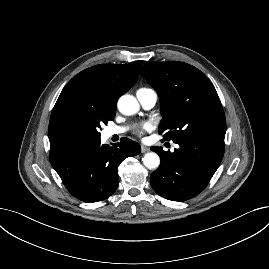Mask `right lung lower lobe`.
Segmentation results:
<instances>
[{
  "label": "right lung lower lobe",
  "mask_w": 269,
  "mask_h": 269,
  "mask_svg": "<svg viewBox=\"0 0 269 269\" xmlns=\"http://www.w3.org/2000/svg\"><path fill=\"white\" fill-rule=\"evenodd\" d=\"M140 151V145L128 138L112 147L101 145L98 138L51 151L49 159L67 190L77 199L93 203L116 191L119 164Z\"/></svg>",
  "instance_id": "obj_1"
}]
</instances>
